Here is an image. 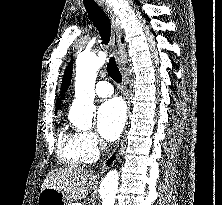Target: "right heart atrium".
<instances>
[{
    "mask_svg": "<svg viewBox=\"0 0 222 205\" xmlns=\"http://www.w3.org/2000/svg\"><path fill=\"white\" fill-rule=\"evenodd\" d=\"M79 140L81 148L89 161L95 160L100 153V142L93 132H81Z\"/></svg>",
    "mask_w": 222,
    "mask_h": 205,
    "instance_id": "1",
    "label": "right heart atrium"
}]
</instances>
